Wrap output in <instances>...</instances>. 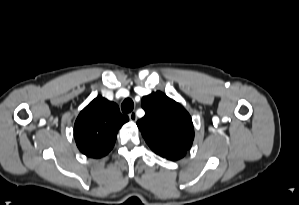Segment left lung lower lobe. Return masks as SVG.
I'll list each match as a JSON object with an SVG mask.
<instances>
[{
	"label": "left lung lower lobe",
	"instance_id": "obj_1",
	"mask_svg": "<svg viewBox=\"0 0 299 205\" xmlns=\"http://www.w3.org/2000/svg\"><path fill=\"white\" fill-rule=\"evenodd\" d=\"M185 154H186V151L171 150V151H167L164 155H160V156L167 158L169 160H178V159L184 157Z\"/></svg>",
	"mask_w": 299,
	"mask_h": 205
}]
</instances>
